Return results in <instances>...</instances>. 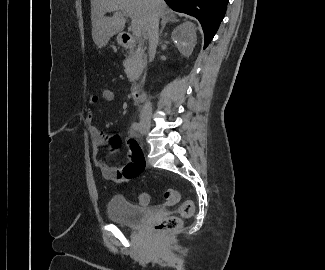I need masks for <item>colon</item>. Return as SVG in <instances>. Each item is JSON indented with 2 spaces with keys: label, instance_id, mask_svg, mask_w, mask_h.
Wrapping results in <instances>:
<instances>
[{
  "label": "colon",
  "instance_id": "5ec220e1",
  "mask_svg": "<svg viewBox=\"0 0 325 270\" xmlns=\"http://www.w3.org/2000/svg\"><path fill=\"white\" fill-rule=\"evenodd\" d=\"M101 98L106 103H113L116 98V92L111 87L103 89ZM180 195L175 189H168L165 192V203L169 206L175 205L179 202ZM139 203L146 205L150 201V196L147 193H141L138 197ZM194 212V204L191 200H185L179 207L178 216H168L161 221L157 222L154 226V232L157 234H163L172 232L179 229L182 226L183 220L192 216Z\"/></svg>",
  "mask_w": 325,
  "mask_h": 270
}]
</instances>
